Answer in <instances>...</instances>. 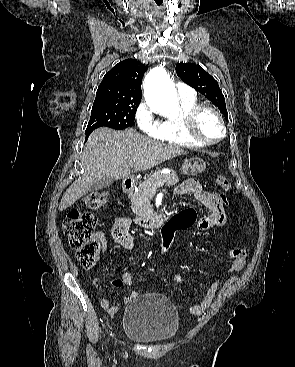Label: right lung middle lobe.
<instances>
[{
  "label": "right lung middle lobe",
  "instance_id": "1",
  "mask_svg": "<svg viewBox=\"0 0 295 367\" xmlns=\"http://www.w3.org/2000/svg\"><path fill=\"white\" fill-rule=\"evenodd\" d=\"M140 101L125 100L113 97H96L93 103L91 118L86 129V137L99 127H110L122 130L134 126L136 110Z\"/></svg>",
  "mask_w": 295,
  "mask_h": 367
}]
</instances>
